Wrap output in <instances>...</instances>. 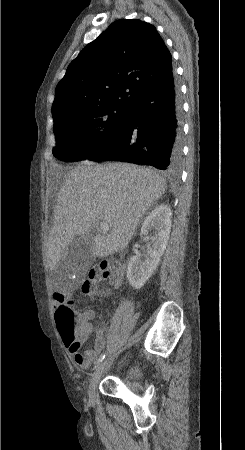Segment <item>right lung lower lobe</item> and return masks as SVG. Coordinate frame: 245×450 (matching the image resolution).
<instances>
[{
	"mask_svg": "<svg viewBox=\"0 0 245 450\" xmlns=\"http://www.w3.org/2000/svg\"><path fill=\"white\" fill-rule=\"evenodd\" d=\"M180 119L179 90L170 70L132 102L119 138L87 159L135 162L177 175L182 163Z\"/></svg>",
	"mask_w": 245,
	"mask_h": 450,
	"instance_id": "1",
	"label": "right lung lower lobe"
}]
</instances>
